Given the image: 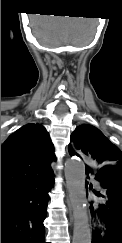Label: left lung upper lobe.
Masks as SVG:
<instances>
[{
    "label": "left lung upper lobe",
    "instance_id": "1",
    "mask_svg": "<svg viewBox=\"0 0 122 243\" xmlns=\"http://www.w3.org/2000/svg\"><path fill=\"white\" fill-rule=\"evenodd\" d=\"M68 150L71 156L82 153L96 168L106 165H121L122 152L96 127L88 124L78 126L70 137ZM122 214V208L119 209Z\"/></svg>",
    "mask_w": 122,
    "mask_h": 243
}]
</instances>
